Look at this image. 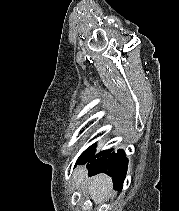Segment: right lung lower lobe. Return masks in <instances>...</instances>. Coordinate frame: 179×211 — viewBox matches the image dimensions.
<instances>
[{
  "instance_id": "right-lung-lower-lobe-1",
  "label": "right lung lower lobe",
  "mask_w": 179,
  "mask_h": 211,
  "mask_svg": "<svg viewBox=\"0 0 179 211\" xmlns=\"http://www.w3.org/2000/svg\"><path fill=\"white\" fill-rule=\"evenodd\" d=\"M87 165L89 176L106 173L113 180L114 189H121L127 172L128 159L122 149H119L117 153L112 152V149L104 150L94 155V153L87 158L76 162L77 164Z\"/></svg>"
}]
</instances>
